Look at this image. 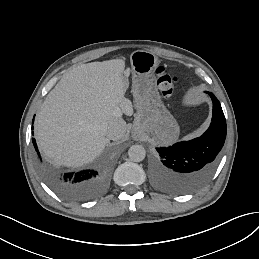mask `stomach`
<instances>
[{"label":"stomach","instance_id":"stomach-1","mask_svg":"<svg viewBox=\"0 0 259 259\" xmlns=\"http://www.w3.org/2000/svg\"><path fill=\"white\" fill-rule=\"evenodd\" d=\"M130 63L133 75H152L159 60L152 52L136 50L130 55Z\"/></svg>","mask_w":259,"mask_h":259}]
</instances>
